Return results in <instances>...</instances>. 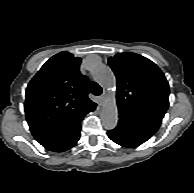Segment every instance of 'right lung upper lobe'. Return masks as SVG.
<instances>
[{
	"label": "right lung upper lobe",
	"instance_id": "cb5924a9",
	"mask_svg": "<svg viewBox=\"0 0 194 193\" xmlns=\"http://www.w3.org/2000/svg\"><path fill=\"white\" fill-rule=\"evenodd\" d=\"M81 58L60 52L50 58L29 82L25 113L32 134L54 129L91 111L88 78L79 72Z\"/></svg>",
	"mask_w": 194,
	"mask_h": 193
}]
</instances>
